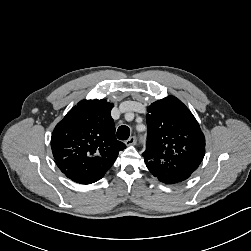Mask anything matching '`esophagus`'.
I'll return each instance as SVG.
<instances>
[{"label":"esophagus","instance_id":"1","mask_svg":"<svg viewBox=\"0 0 251 251\" xmlns=\"http://www.w3.org/2000/svg\"><path fill=\"white\" fill-rule=\"evenodd\" d=\"M137 142V139L135 136H131L128 140L125 141V144L127 146L135 145Z\"/></svg>","mask_w":251,"mask_h":251}]
</instances>
